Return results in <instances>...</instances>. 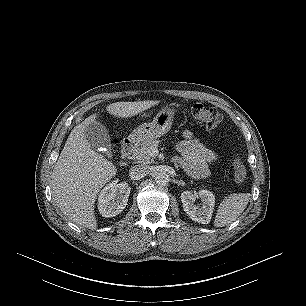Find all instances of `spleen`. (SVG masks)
I'll list each match as a JSON object with an SVG mask.
<instances>
[{"label":"spleen","instance_id":"obj_1","mask_svg":"<svg viewBox=\"0 0 306 306\" xmlns=\"http://www.w3.org/2000/svg\"><path fill=\"white\" fill-rule=\"evenodd\" d=\"M250 196L249 193H234L225 197L217 210L214 226L223 227L235 221L245 210Z\"/></svg>","mask_w":306,"mask_h":306}]
</instances>
